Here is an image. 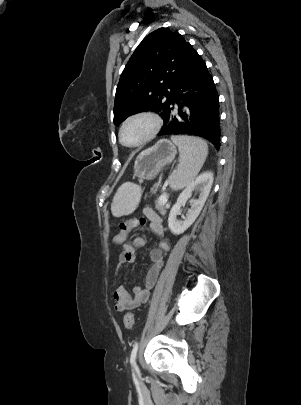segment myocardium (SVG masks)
Segmentation results:
<instances>
[{
    "label": "myocardium",
    "mask_w": 301,
    "mask_h": 405,
    "mask_svg": "<svg viewBox=\"0 0 301 405\" xmlns=\"http://www.w3.org/2000/svg\"><path fill=\"white\" fill-rule=\"evenodd\" d=\"M137 119L148 120L151 124L150 130L139 142L132 144V145L126 144L122 139L123 131L130 122L137 120ZM161 127H162V119L157 113H155L153 111H149V110L135 112V113L129 115L122 122L120 129H119V134H118L119 141L123 146L128 147V148L141 147V146L145 145L146 143H148L149 141H151L159 133Z\"/></svg>",
    "instance_id": "myocardium-1"
}]
</instances>
